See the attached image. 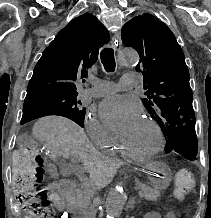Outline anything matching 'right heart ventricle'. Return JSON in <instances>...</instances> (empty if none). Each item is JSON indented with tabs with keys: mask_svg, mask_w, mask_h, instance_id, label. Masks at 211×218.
Here are the masks:
<instances>
[{
	"mask_svg": "<svg viewBox=\"0 0 211 218\" xmlns=\"http://www.w3.org/2000/svg\"><path fill=\"white\" fill-rule=\"evenodd\" d=\"M102 149H103V151L105 153H108V154H117V153H119L118 144H117V142L115 140L112 143H110L109 145L104 146Z\"/></svg>",
	"mask_w": 211,
	"mask_h": 218,
	"instance_id": "e07e8e85",
	"label": "right heart ventricle"
}]
</instances>
